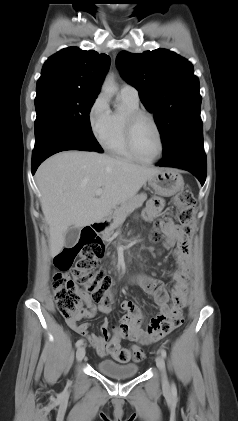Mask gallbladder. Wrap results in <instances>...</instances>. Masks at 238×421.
Here are the masks:
<instances>
[{"label":"gallbladder","instance_id":"gallbladder-1","mask_svg":"<svg viewBox=\"0 0 238 421\" xmlns=\"http://www.w3.org/2000/svg\"><path fill=\"white\" fill-rule=\"evenodd\" d=\"M80 236V230L76 227H70L68 228L65 240H64V246L68 249L75 246V244L78 242Z\"/></svg>","mask_w":238,"mask_h":421}]
</instances>
